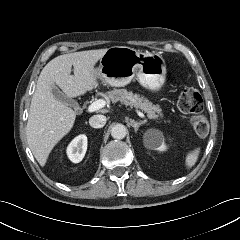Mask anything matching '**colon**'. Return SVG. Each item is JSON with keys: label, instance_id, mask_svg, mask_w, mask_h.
I'll return each mask as SVG.
<instances>
[{"label": "colon", "instance_id": "colon-1", "mask_svg": "<svg viewBox=\"0 0 240 240\" xmlns=\"http://www.w3.org/2000/svg\"><path fill=\"white\" fill-rule=\"evenodd\" d=\"M177 106L182 113L192 114L190 123L198 136L202 137L208 133V120L200 114L203 108V99L195 87H186L180 92Z\"/></svg>", "mask_w": 240, "mask_h": 240}]
</instances>
